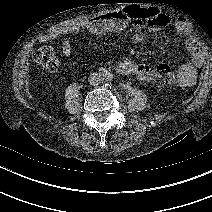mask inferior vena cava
Wrapping results in <instances>:
<instances>
[{
	"instance_id": "1",
	"label": "inferior vena cava",
	"mask_w": 212,
	"mask_h": 212,
	"mask_svg": "<svg viewBox=\"0 0 212 212\" xmlns=\"http://www.w3.org/2000/svg\"><path fill=\"white\" fill-rule=\"evenodd\" d=\"M101 81H102V78L96 73H92L89 77V84L92 86H96L100 84Z\"/></svg>"
}]
</instances>
